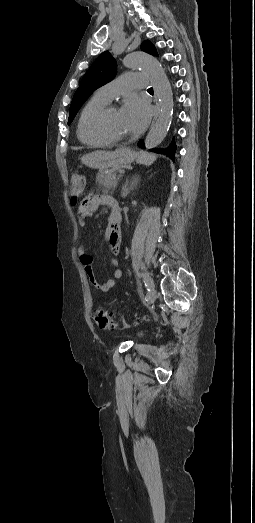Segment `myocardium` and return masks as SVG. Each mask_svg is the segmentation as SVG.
Returning <instances> with one entry per match:
<instances>
[{
  "instance_id": "1",
  "label": "myocardium",
  "mask_w": 255,
  "mask_h": 523,
  "mask_svg": "<svg viewBox=\"0 0 255 523\" xmlns=\"http://www.w3.org/2000/svg\"><path fill=\"white\" fill-rule=\"evenodd\" d=\"M123 108H124V106L121 104L117 105V104L108 103L106 105L100 106V107L96 108L95 110H93L89 114L88 118L86 119V123H85L88 133L97 139H101L103 141L110 142V143L129 142V141L134 140V138H135L134 136L130 137V138H122L119 136L111 135L108 132H106L105 130H103L102 128H100V126H99V120L101 118H103L108 112H110L111 110H121Z\"/></svg>"
}]
</instances>
